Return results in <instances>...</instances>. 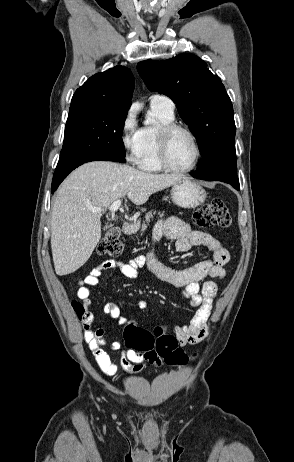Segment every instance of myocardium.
<instances>
[{
    "label": "myocardium",
    "instance_id": "myocardium-1",
    "mask_svg": "<svg viewBox=\"0 0 294 462\" xmlns=\"http://www.w3.org/2000/svg\"><path fill=\"white\" fill-rule=\"evenodd\" d=\"M185 132L192 140L195 147L194 159L188 167L176 168L169 161V143L172 136L178 132ZM202 154L200 142L196 134L188 127L178 124L169 123L160 127L158 131V159L161 167L171 173H187L192 171L199 163Z\"/></svg>",
    "mask_w": 294,
    "mask_h": 462
}]
</instances>
